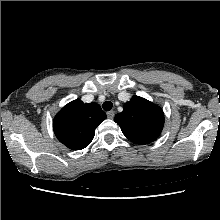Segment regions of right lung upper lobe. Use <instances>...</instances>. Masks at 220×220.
<instances>
[{
    "label": "right lung upper lobe",
    "instance_id": "1",
    "mask_svg": "<svg viewBox=\"0 0 220 220\" xmlns=\"http://www.w3.org/2000/svg\"><path fill=\"white\" fill-rule=\"evenodd\" d=\"M105 119L106 113L98 104H84L76 99L55 116L53 130L57 139L69 149L81 150L91 143L95 129Z\"/></svg>",
    "mask_w": 220,
    "mask_h": 220
}]
</instances>
